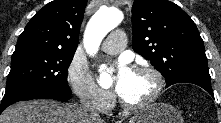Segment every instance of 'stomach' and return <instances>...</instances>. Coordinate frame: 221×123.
<instances>
[{
	"label": "stomach",
	"instance_id": "1",
	"mask_svg": "<svg viewBox=\"0 0 221 123\" xmlns=\"http://www.w3.org/2000/svg\"><path fill=\"white\" fill-rule=\"evenodd\" d=\"M129 123H183V118L172 105L160 102L141 108Z\"/></svg>",
	"mask_w": 221,
	"mask_h": 123
}]
</instances>
